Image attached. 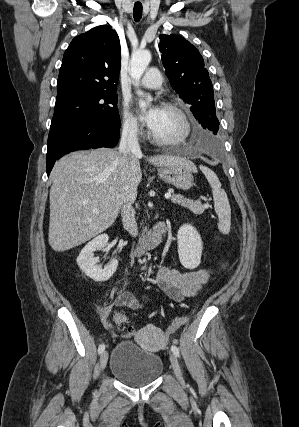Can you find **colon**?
<instances>
[{
	"mask_svg": "<svg viewBox=\"0 0 299 427\" xmlns=\"http://www.w3.org/2000/svg\"><path fill=\"white\" fill-rule=\"evenodd\" d=\"M113 322L118 326L119 329H124V325L127 322V318L123 313H115L113 316ZM128 334H132L133 330L131 328L126 329Z\"/></svg>",
	"mask_w": 299,
	"mask_h": 427,
	"instance_id": "1",
	"label": "colon"
}]
</instances>
